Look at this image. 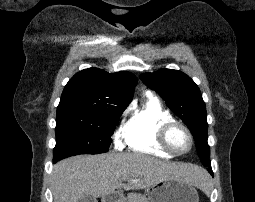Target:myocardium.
<instances>
[{"mask_svg": "<svg viewBox=\"0 0 255 202\" xmlns=\"http://www.w3.org/2000/svg\"><path fill=\"white\" fill-rule=\"evenodd\" d=\"M174 128H181L187 134L190 144H189V148L186 151L179 152V151H176L171 146V144L169 142V135ZM158 142L161 145V147L165 151L170 153L171 155L180 156V155L187 154L192 150L193 145H194V138H193V135H192L190 129L185 124H183L179 121H176V120H171V121L164 123L160 127L159 132H158Z\"/></svg>", "mask_w": 255, "mask_h": 202, "instance_id": "myocardium-1", "label": "myocardium"}]
</instances>
